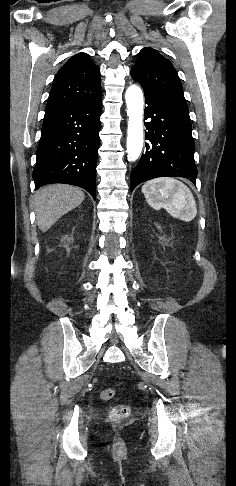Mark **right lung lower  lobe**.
Instances as JSON below:
<instances>
[{"label": "right lung lower lobe", "instance_id": "obj_1", "mask_svg": "<svg viewBox=\"0 0 236 486\" xmlns=\"http://www.w3.org/2000/svg\"><path fill=\"white\" fill-rule=\"evenodd\" d=\"M101 96L46 110L33 171L35 189L65 183L96 198V162L100 143Z\"/></svg>", "mask_w": 236, "mask_h": 486}]
</instances>
